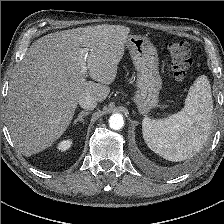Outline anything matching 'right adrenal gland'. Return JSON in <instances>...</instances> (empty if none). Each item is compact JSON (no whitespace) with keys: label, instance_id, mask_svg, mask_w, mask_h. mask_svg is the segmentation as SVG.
I'll list each match as a JSON object with an SVG mask.
<instances>
[{"label":"right adrenal gland","instance_id":"obj_1","mask_svg":"<svg viewBox=\"0 0 224 224\" xmlns=\"http://www.w3.org/2000/svg\"><path fill=\"white\" fill-rule=\"evenodd\" d=\"M88 111H81L78 115V117L74 120V124H76L78 121L82 122L84 124V116L88 115Z\"/></svg>","mask_w":224,"mask_h":224}]
</instances>
